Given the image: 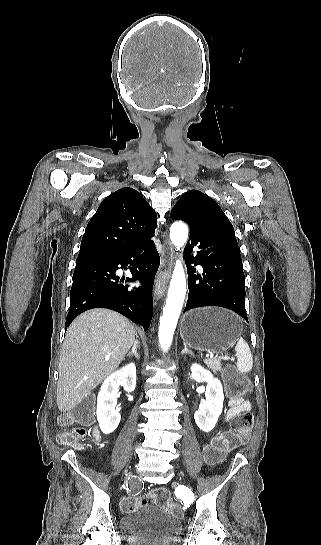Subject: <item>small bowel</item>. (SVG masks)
Returning <instances> with one entry per match:
<instances>
[{"mask_svg": "<svg viewBox=\"0 0 321 545\" xmlns=\"http://www.w3.org/2000/svg\"><path fill=\"white\" fill-rule=\"evenodd\" d=\"M229 409L226 413V420H230L234 416L238 415L241 412L249 411L251 404L249 401L240 398H230L228 402ZM93 438L98 441L101 438V433L98 427H95L93 430Z\"/></svg>", "mask_w": 321, "mask_h": 545, "instance_id": "small-bowel-1", "label": "small bowel"}]
</instances>
